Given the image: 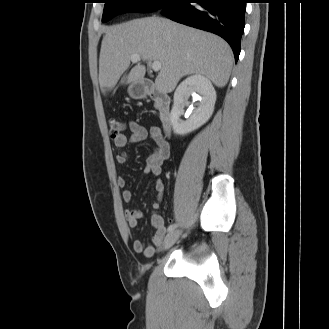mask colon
Here are the masks:
<instances>
[{"mask_svg":"<svg viewBox=\"0 0 329 329\" xmlns=\"http://www.w3.org/2000/svg\"><path fill=\"white\" fill-rule=\"evenodd\" d=\"M108 126L110 135L113 138L121 136L125 132V123L116 117H111L108 120Z\"/></svg>","mask_w":329,"mask_h":329,"instance_id":"5ec220e1","label":"colon"}]
</instances>
